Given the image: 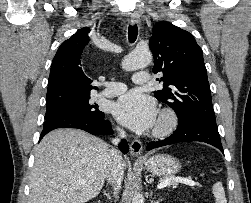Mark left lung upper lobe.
Here are the masks:
<instances>
[{
	"instance_id": "left-lung-upper-lobe-1",
	"label": "left lung upper lobe",
	"mask_w": 251,
	"mask_h": 203,
	"mask_svg": "<svg viewBox=\"0 0 251 203\" xmlns=\"http://www.w3.org/2000/svg\"><path fill=\"white\" fill-rule=\"evenodd\" d=\"M149 44L154 57L152 71L163 73L160 81L164 83L154 96L176 112L178 125L194 119L216 123L203 52L194 37L161 21L153 27Z\"/></svg>"
}]
</instances>
